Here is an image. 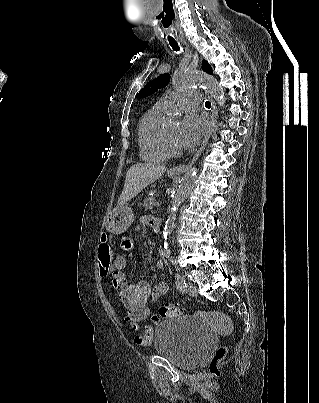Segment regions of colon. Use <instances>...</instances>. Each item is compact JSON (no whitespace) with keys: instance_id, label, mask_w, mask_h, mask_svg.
<instances>
[{"instance_id":"colon-1","label":"colon","mask_w":319,"mask_h":403,"mask_svg":"<svg viewBox=\"0 0 319 403\" xmlns=\"http://www.w3.org/2000/svg\"><path fill=\"white\" fill-rule=\"evenodd\" d=\"M131 244V243H130ZM122 258V257H121ZM113 278H110V287H117L119 300L121 301L124 313H148V291H151V282H128L127 268H134V259H113ZM183 313L178 304L162 303L157 312L152 316V325L146 331L136 336L135 342L140 346H148L152 340L154 325L162 319L176 317ZM227 347L221 346L214 353L210 369L213 374L217 371V364L227 355Z\"/></svg>"}]
</instances>
